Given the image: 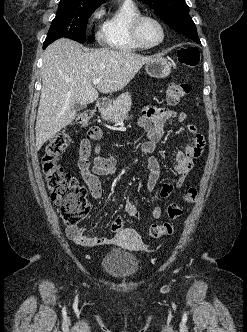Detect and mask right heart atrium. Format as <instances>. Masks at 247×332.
<instances>
[{
	"label": "right heart atrium",
	"mask_w": 247,
	"mask_h": 332,
	"mask_svg": "<svg viewBox=\"0 0 247 332\" xmlns=\"http://www.w3.org/2000/svg\"><path fill=\"white\" fill-rule=\"evenodd\" d=\"M102 15H103V9L102 8L97 9L91 16L90 25L94 26Z\"/></svg>",
	"instance_id": "1"
}]
</instances>
